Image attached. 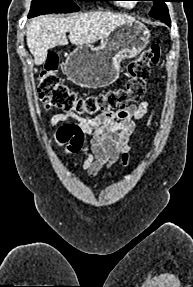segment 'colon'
Here are the masks:
<instances>
[{
  "label": "colon",
  "mask_w": 193,
  "mask_h": 287,
  "mask_svg": "<svg viewBox=\"0 0 193 287\" xmlns=\"http://www.w3.org/2000/svg\"><path fill=\"white\" fill-rule=\"evenodd\" d=\"M160 52V46L154 44L130 61L126 68L129 78L124 86L83 95L61 82L58 75L59 58L57 54L50 53L39 77L37 94L47 107L74 112L86 123L88 120H99L143 98L151 65L158 63Z\"/></svg>",
  "instance_id": "obj_1"
}]
</instances>
